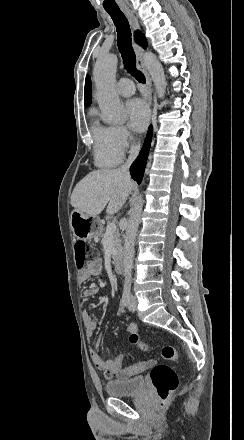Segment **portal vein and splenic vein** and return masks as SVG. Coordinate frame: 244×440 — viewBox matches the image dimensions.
Masks as SVG:
<instances>
[{"instance_id": "1", "label": "portal vein and splenic vein", "mask_w": 244, "mask_h": 440, "mask_svg": "<svg viewBox=\"0 0 244 440\" xmlns=\"http://www.w3.org/2000/svg\"><path fill=\"white\" fill-rule=\"evenodd\" d=\"M116 228H117L116 224L112 222V224H107L106 230L107 232H115Z\"/></svg>"}]
</instances>
